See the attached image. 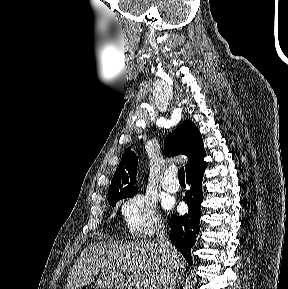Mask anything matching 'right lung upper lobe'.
<instances>
[{"label":"right lung upper lobe","instance_id":"right-lung-upper-lobe-1","mask_svg":"<svg viewBox=\"0 0 288 289\" xmlns=\"http://www.w3.org/2000/svg\"><path fill=\"white\" fill-rule=\"evenodd\" d=\"M164 149L168 157L179 154L189 157L185 166L186 172L203 160L206 155L199 130L191 121L183 122L165 138ZM137 163L136 154L128 148L112 178L109 192L137 189L134 186L136 183Z\"/></svg>","mask_w":288,"mask_h":289}]
</instances>
